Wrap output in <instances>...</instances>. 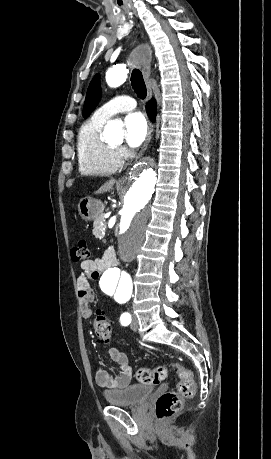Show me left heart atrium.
Returning <instances> with one entry per match:
<instances>
[{
	"mask_svg": "<svg viewBox=\"0 0 271 459\" xmlns=\"http://www.w3.org/2000/svg\"><path fill=\"white\" fill-rule=\"evenodd\" d=\"M126 142L131 147L140 146L147 137L148 126L144 116L135 112L125 119Z\"/></svg>",
	"mask_w": 271,
	"mask_h": 459,
	"instance_id": "39dd6f15",
	"label": "left heart atrium"
}]
</instances>
